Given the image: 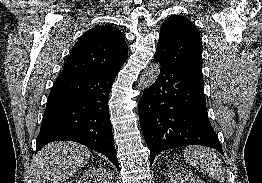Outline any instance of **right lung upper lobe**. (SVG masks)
Returning <instances> with one entry per match:
<instances>
[{"instance_id":"cb5924a9","label":"right lung upper lobe","mask_w":262,"mask_h":183,"mask_svg":"<svg viewBox=\"0 0 262 183\" xmlns=\"http://www.w3.org/2000/svg\"><path fill=\"white\" fill-rule=\"evenodd\" d=\"M124 34L102 25L88 30L74 45L62 74H81L121 69L127 59Z\"/></svg>"}]
</instances>
